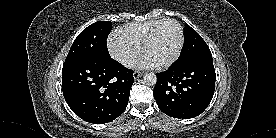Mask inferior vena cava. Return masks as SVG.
<instances>
[{"label": "inferior vena cava", "mask_w": 276, "mask_h": 138, "mask_svg": "<svg viewBox=\"0 0 276 138\" xmlns=\"http://www.w3.org/2000/svg\"><path fill=\"white\" fill-rule=\"evenodd\" d=\"M135 61L134 59L132 58H127V59H123L122 60V64L125 66V67H132L134 65Z\"/></svg>", "instance_id": "602c4592"}]
</instances>
